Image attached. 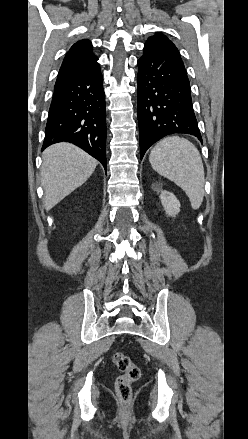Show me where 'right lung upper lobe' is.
<instances>
[{
	"mask_svg": "<svg viewBox=\"0 0 248 439\" xmlns=\"http://www.w3.org/2000/svg\"><path fill=\"white\" fill-rule=\"evenodd\" d=\"M97 57L92 52V44L83 39L76 42L66 54L56 83L77 75L97 64Z\"/></svg>",
	"mask_w": 248,
	"mask_h": 439,
	"instance_id": "right-lung-upper-lobe-1",
	"label": "right lung upper lobe"
}]
</instances>
